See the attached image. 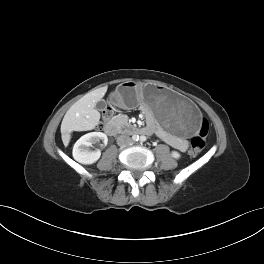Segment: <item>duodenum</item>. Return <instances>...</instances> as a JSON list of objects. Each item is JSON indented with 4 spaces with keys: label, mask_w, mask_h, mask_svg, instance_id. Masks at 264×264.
Segmentation results:
<instances>
[{
    "label": "duodenum",
    "mask_w": 264,
    "mask_h": 264,
    "mask_svg": "<svg viewBox=\"0 0 264 264\" xmlns=\"http://www.w3.org/2000/svg\"><path fill=\"white\" fill-rule=\"evenodd\" d=\"M104 130L106 134L109 136H114L120 132L126 133V134H138L146 132L145 129H141L132 125H127L121 127L117 122L114 120H110L105 124Z\"/></svg>",
    "instance_id": "410a0bca"
}]
</instances>
